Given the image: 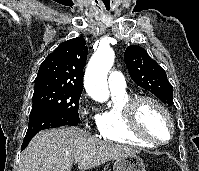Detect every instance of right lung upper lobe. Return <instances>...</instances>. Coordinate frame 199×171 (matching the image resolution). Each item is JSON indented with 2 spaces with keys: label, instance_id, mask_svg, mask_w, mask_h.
<instances>
[{
  "label": "right lung upper lobe",
  "instance_id": "obj_1",
  "mask_svg": "<svg viewBox=\"0 0 199 171\" xmlns=\"http://www.w3.org/2000/svg\"><path fill=\"white\" fill-rule=\"evenodd\" d=\"M83 37L61 43L40 65L35 84H57L83 89L88 47Z\"/></svg>",
  "mask_w": 199,
  "mask_h": 171
}]
</instances>
